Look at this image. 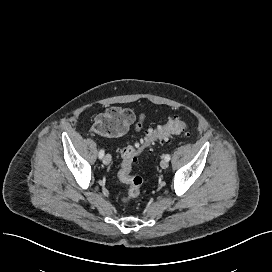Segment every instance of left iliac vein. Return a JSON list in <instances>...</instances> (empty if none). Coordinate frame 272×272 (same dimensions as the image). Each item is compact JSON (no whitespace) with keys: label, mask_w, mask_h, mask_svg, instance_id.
<instances>
[{"label":"left iliac vein","mask_w":272,"mask_h":272,"mask_svg":"<svg viewBox=\"0 0 272 272\" xmlns=\"http://www.w3.org/2000/svg\"><path fill=\"white\" fill-rule=\"evenodd\" d=\"M160 166H161L162 169H166V168H168L169 163H168V161H167L166 159H163V160L160 162Z\"/></svg>","instance_id":"obj_1"}]
</instances>
